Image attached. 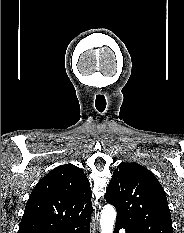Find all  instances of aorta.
I'll list each match as a JSON object with an SVG mask.
<instances>
[{
	"label": "aorta",
	"instance_id": "obj_1",
	"mask_svg": "<svg viewBox=\"0 0 184 233\" xmlns=\"http://www.w3.org/2000/svg\"><path fill=\"white\" fill-rule=\"evenodd\" d=\"M116 219V211L113 206L105 205L101 211L100 226L101 233H113Z\"/></svg>",
	"mask_w": 184,
	"mask_h": 233
}]
</instances>
